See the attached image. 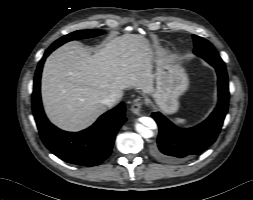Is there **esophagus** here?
<instances>
[{
    "mask_svg": "<svg viewBox=\"0 0 253 200\" xmlns=\"http://www.w3.org/2000/svg\"><path fill=\"white\" fill-rule=\"evenodd\" d=\"M141 107H142V102L138 100L132 104V106L130 107V110L132 113H134L136 115H140Z\"/></svg>",
    "mask_w": 253,
    "mask_h": 200,
    "instance_id": "34e87169",
    "label": "esophagus"
}]
</instances>
